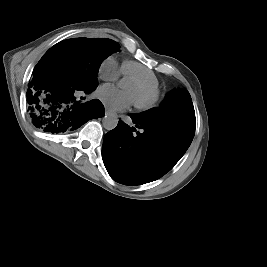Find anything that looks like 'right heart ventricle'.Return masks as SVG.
I'll return each instance as SVG.
<instances>
[{"label": "right heart ventricle", "instance_id": "obj_1", "mask_svg": "<svg viewBox=\"0 0 267 267\" xmlns=\"http://www.w3.org/2000/svg\"><path fill=\"white\" fill-rule=\"evenodd\" d=\"M122 73L127 78L141 80L150 90L158 94L159 79L156 74L146 66L133 61H124L122 64Z\"/></svg>", "mask_w": 267, "mask_h": 267}]
</instances>
